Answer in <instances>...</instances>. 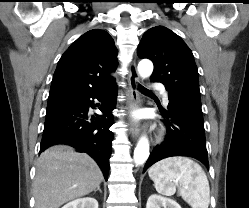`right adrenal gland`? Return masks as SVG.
<instances>
[{
	"instance_id": "2a0ac1e0",
	"label": "right adrenal gland",
	"mask_w": 249,
	"mask_h": 208,
	"mask_svg": "<svg viewBox=\"0 0 249 208\" xmlns=\"http://www.w3.org/2000/svg\"><path fill=\"white\" fill-rule=\"evenodd\" d=\"M97 191H99L100 193H102V190L100 189V186L97 187V189L94 190V193H96Z\"/></svg>"
}]
</instances>
